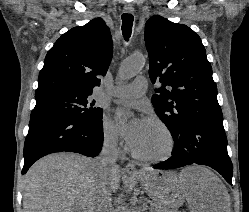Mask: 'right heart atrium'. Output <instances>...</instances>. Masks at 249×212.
Listing matches in <instances>:
<instances>
[{"label": "right heart atrium", "mask_w": 249, "mask_h": 212, "mask_svg": "<svg viewBox=\"0 0 249 212\" xmlns=\"http://www.w3.org/2000/svg\"><path fill=\"white\" fill-rule=\"evenodd\" d=\"M101 134L105 147L112 151H118L119 138L112 123L106 116L102 119Z\"/></svg>", "instance_id": "obj_1"}]
</instances>
